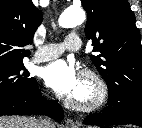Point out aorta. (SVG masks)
<instances>
[{"instance_id":"aorta-1","label":"aorta","mask_w":142,"mask_h":128,"mask_svg":"<svg viewBox=\"0 0 142 128\" xmlns=\"http://www.w3.org/2000/svg\"><path fill=\"white\" fill-rule=\"evenodd\" d=\"M85 12L82 8H67L60 15L58 23L63 28H72L80 25L85 20Z\"/></svg>"}]
</instances>
